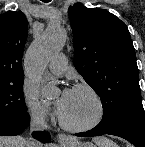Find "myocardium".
Masks as SVG:
<instances>
[{"label": "myocardium", "mask_w": 145, "mask_h": 147, "mask_svg": "<svg viewBox=\"0 0 145 147\" xmlns=\"http://www.w3.org/2000/svg\"><path fill=\"white\" fill-rule=\"evenodd\" d=\"M73 90H83L91 95L96 105V114L92 120L81 125L69 124L60 115L59 116L60 126L63 129L69 132H74V133L87 132L96 128L103 121L105 117V106H104L102 98L100 97L98 92L92 86L88 84H84V83L77 84L73 87Z\"/></svg>", "instance_id": "1"}]
</instances>
